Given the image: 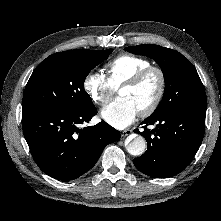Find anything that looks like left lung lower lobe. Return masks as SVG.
<instances>
[{
	"instance_id": "left-lung-lower-lobe-1",
	"label": "left lung lower lobe",
	"mask_w": 221,
	"mask_h": 221,
	"mask_svg": "<svg viewBox=\"0 0 221 221\" xmlns=\"http://www.w3.org/2000/svg\"><path fill=\"white\" fill-rule=\"evenodd\" d=\"M206 111H169L145 119L142 134L147 151L133 159L142 173L156 178H168L183 171L198 151L204 136ZM156 124L149 130L148 125Z\"/></svg>"
}]
</instances>
